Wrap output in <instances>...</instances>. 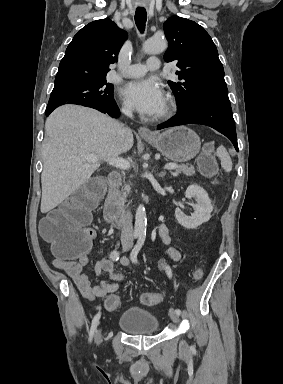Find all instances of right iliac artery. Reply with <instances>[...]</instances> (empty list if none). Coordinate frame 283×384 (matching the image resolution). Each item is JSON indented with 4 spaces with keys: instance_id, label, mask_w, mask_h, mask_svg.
Segmentation results:
<instances>
[{
    "instance_id": "1",
    "label": "right iliac artery",
    "mask_w": 283,
    "mask_h": 384,
    "mask_svg": "<svg viewBox=\"0 0 283 384\" xmlns=\"http://www.w3.org/2000/svg\"><path fill=\"white\" fill-rule=\"evenodd\" d=\"M119 256H120V253L116 250L112 251L110 253V258L111 260L113 261H117L119 260ZM101 317V313H97L92 321V324H91V329H90V332H89V341L91 342L92 338H93V335L96 331V328L98 326V323H99V319Z\"/></svg>"
}]
</instances>
